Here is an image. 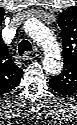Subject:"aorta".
I'll return each instance as SVG.
<instances>
[{"label": "aorta", "instance_id": "1", "mask_svg": "<svg viewBox=\"0 0 77 125\" xmlns=\"http://www.w3.org/2000/svg\"><path fill=\"white\" fill-rule=\"evenodd\" d=\"M35 38L41 44L46 52V57L44 60V65L47 70L54 72L55 68H59V61L55 60L58 59L59 55V45L55 39V37L51 34L50 31L44 29L43 27H38Z\"/></svg>", "mask_w": 77, "mask_h": 125}]
</instances>
